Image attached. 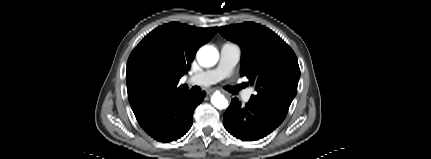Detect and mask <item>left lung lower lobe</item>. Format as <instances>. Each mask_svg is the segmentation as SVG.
I'll use <instances>...</instances> for the list:
<instances>
[{
    "label": "left lung lower lobe",
    "mask_w": 431,
    "mask_h": 159,
    "mask_svg": "<svg viewBox=\"0 0 431 159\" xmlns=\"http://www.w3.org/2000/svg\"><path fill=\"white\" fill-rule=\"evenodd\" d=\"M287 111L274 105L249 100L245 106L237 98L232 99L223 116L226 130L243 141L265 137L285 119Z\"/></svg>",
    "instance_id": "0a47b994"
}]
</instances>
